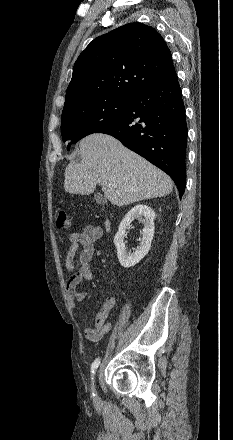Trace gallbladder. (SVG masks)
I'll return each mask as SVG.
<instances>
[{
	"label": "gallbladder",
	"mask_w": 233,
	"mask_h": 440,
	"mask_svg": "<svg viewBox=\"0 0 233 440\" xmlns=\"http://www.w3.org/2000/svg\"><path fill=\"white\" fill-rule=\"evenodd\" d=\"M94 199L96 200L97 203L99 204H105L107 202V199L105 196H103L100 193H97L94 195Z\"/></svg>",
	"instance_id": "obj_1"
}]
</instances>
